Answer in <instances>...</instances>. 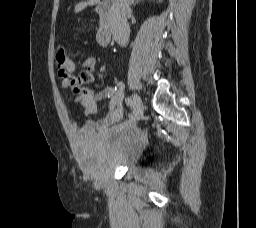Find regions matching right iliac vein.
<instances>
[{"mask_svg":"<svg viewBox=\"0 0 256 228\" xmlns=\"http://www.w3.org/2000/svg\"><path fill=\"white\" fill-rule=\"evenodd\" d=\"M133 121H138L142 118L144 112V106L142 103V99L138 94L133 95Z\"/></svg>","mask_w":256,"mask_h":228,"instance_id":"63e3f726","label":"right iliac vein"}]
</instances>
